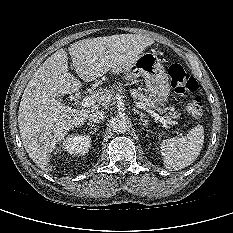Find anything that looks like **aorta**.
I'll return each mask as SVG.
<instances>
[{
    "mask_svg": "<svg viewBox=\"0 0 233 233\" xmlns=\"http://www.w3.org/2000/svg\"><path fill=\"white\" fill-rule=\"evenodd\" d=\"M111 126L115 133L123 134L129 127V121L125 117H114L111 121Z\"/></svg>",
    "mask_w": 233,
    "mask_h": 233,
    "instance_id": "aorta-1",
    "label": "aorta"
}]
</instances>
